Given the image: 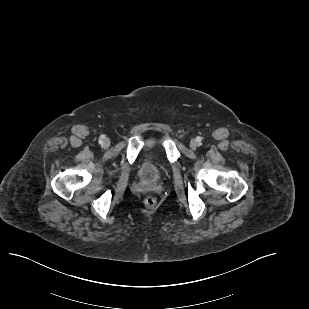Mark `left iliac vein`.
<instances>
[{
  "instance_id": "left-iliac-vein-1",
  "label": "left iliac vein",
  "mask_w": 309,
  "mask_h": 309,
  "mask_svg": "<svg viewBox=\"0 0 309 309\" xmlns=\"http://www.w3.org/2000/svg\"><path fill=\"white\" fill-rule=\"evenodd\" d=\"M198 144H197V141L196 140H191L190 141V147L191 149L195 150L197 148Z\"/></svg>"
}]
</instances>
